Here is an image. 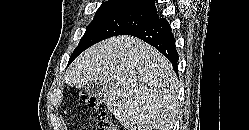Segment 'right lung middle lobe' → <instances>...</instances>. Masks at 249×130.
<instances>
[{
	"label": "right lung middle lobe",
	"instance_id": "obj_1",
	"mask_svg": "<svg viewBox=\"0 0 249 130\" xmlns=\"http://www.w3.org/2000/svg\"><path fill=\"white\" fill-rule=\"evenodd\" d=\"M157 18V12L137 7L112 4L101 5L93 21L87 26L80 43L73 51L69 63L95 43L112 36L125 34Z\"/></svg>",
	"mask_w": 249,
	"mask_h": 130
}]
</instances>
